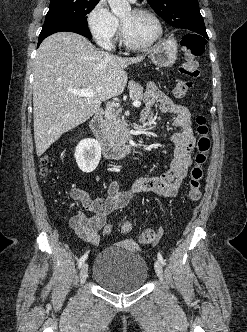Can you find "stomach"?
<instances>
[{
  "mask_svg": "<svg viewBox=\"0 0 247 332\" xmlns=\"http://www.w3.org/2000/svg\"><path fill=\"white\" fill-rule=\"evenodd\" d=\"M151 61L159 67H170L177 59V43L170 39L159 43L150 52Z\"/></svg>",
  "mask_w": 247,
  "mask_h": 332,
  "instance_id": "obj_1",
  "label": "stomach"
}]
</instances>
